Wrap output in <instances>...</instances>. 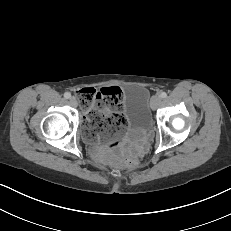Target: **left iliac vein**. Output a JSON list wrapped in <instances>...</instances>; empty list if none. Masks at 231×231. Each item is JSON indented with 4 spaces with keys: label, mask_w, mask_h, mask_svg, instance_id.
Masks as SVG:
<instances>
[{
    "label": "left iliac vein",
    "mask_w": 231,
    "mask_h": 231,
    "mask_svg": "<svg viewBox=\"0 0 231 231\" xmlns=\"http://www.w3.org/2000/svg\"><path fill=\"white\" fill-rule=\"evenodd\" d=\"M161 103V98L158 95H154L151 99V108L152 110H156Z\"/></svg>",
    "instance_id": "4c4485c4"
}]
</instances>
